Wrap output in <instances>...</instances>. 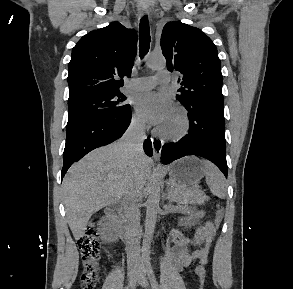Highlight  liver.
Here are the masks:
<instances>
[{"instance_id":"liver-1","label":"liver","mask_w":293,"mask_h":289,"mask_svg":"<svg viewBox=\"0 0 293 289\" xmlns=\"http://www.w3.org/2000/svg\"><path fill=\"white\" fill-rule=\"evenodd\" d=\"M151 172V159L129 154L122 141L93 150L68 170L62 183L63 201L75 240L84 236L91 216L119 201L130 180L143 186Z\"/></svg>"}]
</instances>
